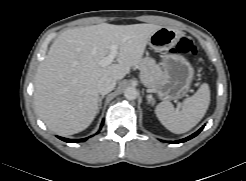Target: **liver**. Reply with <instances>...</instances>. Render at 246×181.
I'll return each instance as SVG.
<instances>
[{
  "mask_svg": "<svg viewBox=\"0 0 246 181\" xmlns=\"http://www.w3.org/2000/svg\"><path fill=\"white\" fill-rule=\"evenodd\" d=\"M161 27L102 23L61 33L35 75L34 105L41 120L60 135L85 130L98 111V80L123 79L140 63L150 37ZM111 45H118L117 63L103 67L100 61Z\"/></svg>",
  "mask_w": 246,
  "mask_h": 181,
  "instance_id": "6515ba94",
  "label": "liver"
}]
</instances>
